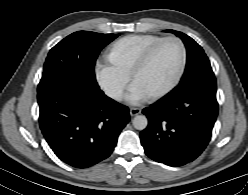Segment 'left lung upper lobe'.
<instances>
[{"label":"left lung upper lobe","instance_id":"left-lung-upper-lobe-1","mask_svg":"<svg viewBox=\"0 0 248 195\" xmlns=\"http://www.w3.org/2000/svg\"><path fill=\"white\" fill-rule=\"evenodd\" d=\"M166 31L175 33L179 36L183 40L187 49L186 69L178 88L181 91H184L189 88L207 85L216 86L214 73L203 49L192 38L182 32L174 30Z\"/></svg>","mask_w":248,"mask_h":195}]
</instances>
